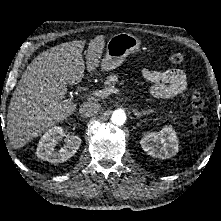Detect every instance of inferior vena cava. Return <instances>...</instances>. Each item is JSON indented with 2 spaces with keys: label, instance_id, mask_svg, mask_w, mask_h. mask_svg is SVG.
Returning a JSON list of instances; mask_svg holds the SVG:
<instances>
[{
  "label": "inferior vena cava",
  "instance_id": "inferior-vena-cava-1",
  "mask_svg": "<svg viewBox=\"0 0 221 221\" xmlns=\"http://www.w3.org/2000/svg\"><path fill=\"white\" fill-rule=\"evenodd\" d=\"M100 111V104L95 101H87L80 105L79 114L81 117H91Z\"/></svg>",
  "mask_w": 221,
  "mask_h": 221
}]
</instances>
